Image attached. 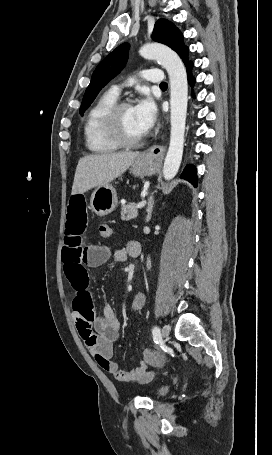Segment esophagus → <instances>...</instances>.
Returning <instances> with one entry per match:
<instances>
[{"instance_id": "obj_1", "label": "esophagus", "mask_w": 272, "mask_h": 455, "mask_svg": "<svg viewBox=\"0 0 272 455\" xmlns=\"http://www.w3.org/2000/svg\"><path fill=\"white\" fill-rule=\"evenodd\" d=\"M165 153V147L160 146V145H153L151 146L146 154L154 159L160 160L162 159L163 155Z\"/></svg>"}]
</instances>
